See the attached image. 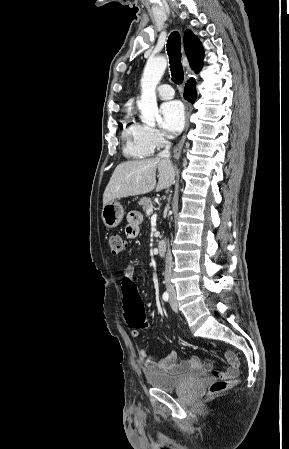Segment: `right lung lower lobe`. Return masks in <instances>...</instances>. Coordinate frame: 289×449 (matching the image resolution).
<instances>
[{
	"label": "right lung lower lobe",
	"instance_id": "right-lung-lower-lobe-1",
	"mask_svg": "<svg viewBox=\"0 0 289 449\" xmlns=\"http://www.w3.org/2000/svg\"><path fill=\"white\" fill-rule=\"evenodd\" d=\"M184 90V98L189 102L194 103L197 98L196 81L194 79L188 80Z\"/></svg>",
	"mask_w": 289,
	"mask_h": 449
}]
</instances>
